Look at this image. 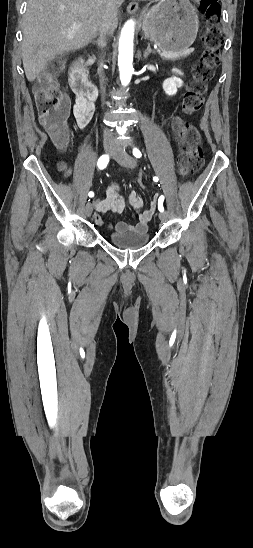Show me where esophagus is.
<instances>
[{
    "instance_id": "1",
    "label": "esophagus",
    "mask_w": 253,
    "mask_h": 548,
    "mask_svg": "<svg viewBox=\"0 0 253 548\" xmlns=\"http://www.w3.org/2000/svg\"><path fill=\"white\" fill-rule=\"evenodd\" d=\"M138 8H139L138 3L135 2V1H133V2H130V3L128 4V6H127V11H128V13H130V14H134V13L137 12Z\"/></svg>"
}]
</instances>
